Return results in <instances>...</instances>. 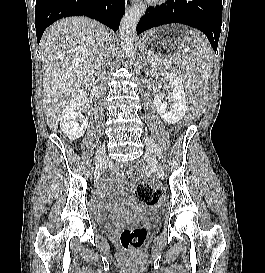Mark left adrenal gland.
<instances>
[{
  "label": "left adrenal gland",
  "mask_w": 265,
  "mask_h": 273,
  "mask_svg": "<svg viewBox=\"0 0 265 273\" xmlns=\"http://www.w3.org/2000/svg\"><path fill=\"white\" fill-rule=\"evenodd\" d=\"M143 60H144L145 65H147V63L149 62V60H146V58H145V55H144V54H143Z\"/></svg>",
  "instance_id": "1"
}]
</instances>
